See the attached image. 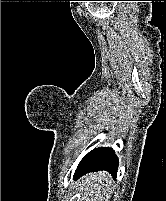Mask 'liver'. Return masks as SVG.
<instances>
[{"instance_id":"1","label":"liver","mask_w":166,"mask_h":201,"mask_svg":"<svg viewBox=\"0 0 166 201\" xmlns=\"http://www.w3.org/2000/svg\"><path fill=\"white\" fill-rule=\"evenodd\" d=\"M113 180L105 171L84 175L76 184V191L81 193L80 201H109L112 194Z\"/></svg>"}]
</instances>
